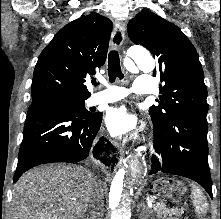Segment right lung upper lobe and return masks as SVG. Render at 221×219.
<instances>
[{"instance_id": "1", "label": "right lung upper lobe", "mask_w": 221, "mask_h": 219, "mask_svg": "<svg viewBox=\"0 0 221 219\" xmlns=\"http://www.w3.org/2000/svg\"><path fill=\"white\" fill-rule=\"evenodd\" d=\"M112 22L95 12L59 30L42 51L32 82V103L53 98L87 99L86 79L106 61Z\"/></svg>"}]
</instances>
